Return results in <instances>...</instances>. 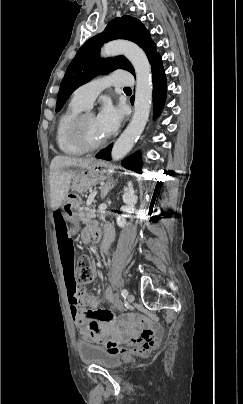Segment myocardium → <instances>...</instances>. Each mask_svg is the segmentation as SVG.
Here are the masks:
<instances>
[{
    "label": "myocardium",
    "mask_w": 243,
    "mask_h": 404,
    "mask_svg": "<svg viewBox=\"0 0 243 404\" xmlns=\"http://www.w3.org/2000/svg\"><path fill=\"white\" fill-rule=\"evenodd\" d=\"M94 116V113L90 110H84L79 113L69 124L68 134L70 138L81 148L86 151H94L99 149L105 144V140H101L96 143L88 142L81 134V126L84 120L89 117Z\"/></svg>",
    "instance_id": "obj_1"
}]
</instances>
